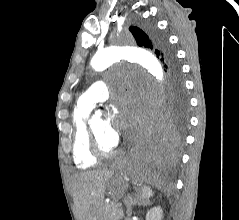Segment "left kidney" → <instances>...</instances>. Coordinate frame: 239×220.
Returning <instances> with one entry per match:
<instances>
[{"label": "left kidney", "instance_id": "obj_1", "mask_svg": "<svg viewBox=\"0 0 239 220\" xmlns=\"http://www.w3.org/2000/svg\"><path fill=\"white\" fill-rule=\"evenodd\" d=\"M163 210L160 206L153 207L146 214V220H162Z\"/></svg>", "mask_w": 239, "mask_h": 220}]
</instances>
